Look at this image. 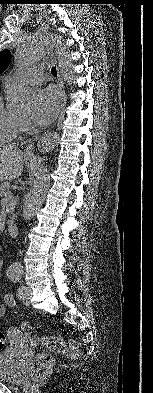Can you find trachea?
Returning a JSON list of instances; mask_svg holds the SVG:
<instances>
[{"mask_svg":"<svg viewBox=\"0 0 153 393\" xmlns=\"http://www.w3.org/2000/svg\"><path fill=\"white\" fill-rule=\"evenodd\" d=\"M51 74H52L53 76H57V69H56V67H52V69H51Z\"/></svg>","mask_w":153,"mask_h":393,"instance_id":"3493384b","label":"trachea"}]
</instances>
